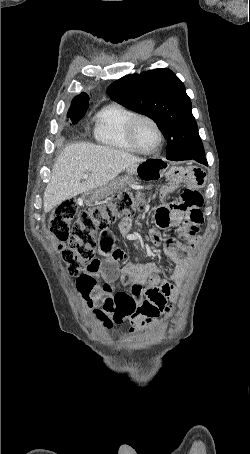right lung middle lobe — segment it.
I'll list each match as a JSON object with an SVG mask.
<instances>
[{
	"label": "right lung middle lobe",
	"instance_id": "dd1d6c3e",
	"mask_svg": "<svg viewBox=\"0 0 250 454\" xmlns=\"http://www.w3.org/2000/svg\"><path fill=\"white\" fill-rule=\"evenodd\" d=\"M89 102L71 105L68 111V117L71 118L72 124H76L86 113Z\"/></svg>",
	"mask_w": 250,
	"mask_h": 454
}]
</instances>
